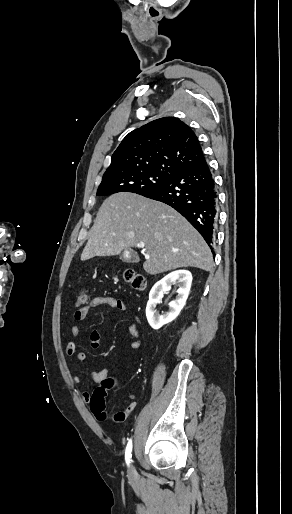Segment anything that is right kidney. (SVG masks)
I'll return each instance as SVG.
<instances>
[{"mask_svg": "<svg viewBox=\"0 0 292 514\" xmlns=\"http://www.w3.org/2000/svg\"><path fill=\"white\" fill-rule=\"evenodd\" d=\"M175 282H178L179 286L177 290L178 296H176V300L169 302L168 312H163L162 316H160L159 312L156 310V306L157 304H161L164 292L171 290V286H174ZM191 284L192 274L188 272V270H176V272H171V274L162 278L160 282L154 284L149 294V302L146 308V318L154 330H159L164 324H169V322H172V320H175V318L179 316L182 308H184L186 304Z\"/></svg>", "mask_w": 292, "mask_h": 514, "instance_id": "1", "label": "right kidney"}]
</instances>
